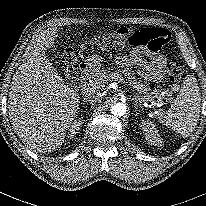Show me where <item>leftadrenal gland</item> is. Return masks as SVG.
Here are the masks:
<instances>
[{
    "mask_svg": "<svg viewBox=\"0 0 206 206\" xmlns=\"http://www.w3.org/2000/svg\"><path fill=\"white\" fill-rule=\"evenodd\" d=\"M134 100H135V112L137 111V109H138V106H139V104H138V101H137V99L136 98H134Z\"/></svg>",
    "mask_w": 206,
    "mask_h": 206,
    "instance_id": "left-adrenal-gland-1",
    "label": "left adrenal gland"
}]
</instances>
